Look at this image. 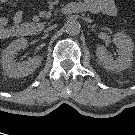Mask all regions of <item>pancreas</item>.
I'll return each mask as SVG.
<instances>
[{
	"label": "pancreas",
	"instance_id": "cf45deb5",
	"mask_svg": "<svg viewBox=\"0 0 135 135\" xmlns=\"http://www.w3.org/2000/svg\"><path fill=\"white\" fill-rule=\"evenodd\" d=\"M23 26L29 27V28H34L36 31L39 30L37 25H33V24H30V23H25V24H23Z\"/></svg>",
	"mask_w": 135,
	"mask_h": 135
}]
</instances>
